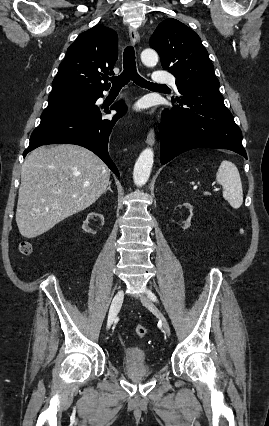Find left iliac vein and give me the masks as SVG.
Here are the masks:
<instances>
[{"label":"left iliac vein","instance_id":"4c4485c4","mask_svg":"<svg viewBox=\"0 0 269 426\" xmlns=\"http://www.w3.org/2000/svg\"><path fill=\"white\" fill-rule=\"evenodd\" d=\"M141 302L150 310L154 311L157 315V317L160 319L164 332L167 336H170V326L165 318V316L162 314V312L145 296H141Z\"/></svg>","mask_w":269,"mask_h":426}]
</instances>
